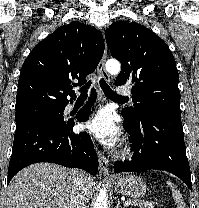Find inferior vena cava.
Returning <instances> with one entry per match:
<instances>
[{
	"mask_svg": "<svg viewBox=\"0 0 199 208\" xmlns=\"http://www.w3.org/2000/svg\"><path fill=\"white\" fill-rule=\"evenodd\" d=\"M85 173L76 169L74 172V186L71 192L69 208H87L84 194Z\"/></svg>",
	"mask_w": 199,
	"mask_h": 208,
	"instance_id": "obj_1",
	"label": "inferior vena cava"
}]
</instances>
